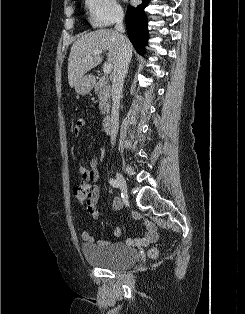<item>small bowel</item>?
Masks as SVG:
<instances>
[{"label":"small bowel","mask_w":245,"mask_h":314,"mask_svg":"<svg viewBox=\"0 0 245 314\" xmlns=\"http://www.w3.org/2000/svg\"><path fill=\"white\" fill-rule=\"evenodd\" d=\"M84 126V121L82 119H79L76 121L74 127H73V133L75 135H79L81 128ZM78 172L84 182H90L91 183V199L87 203V210L92 218L98 219L100 217V212L97 208V202L99 199L100 194V188L97 185V180L99 177L98 173V160L97 158L92 155L89 159L88 166L85 165H79ZM115 210L120 209L121 203L119 200H115L113 205ZM133 218L140 219L141 215L139 213H134ZM146 227L147 232L140 238H128L126 240V244L129 246H148L149 244L155 242L158 239L157 229L154 223L150 221H146ZM121 231L119 228H115L114 230V236L118 237L120 235ZM82 239L85 242L88 243H95L96 239L95 237L89 232V231H83L82 232ZM108 243V241H99V244H105Z\"/></svg>","instance_id":"c3829d8e"}]
</instances>
